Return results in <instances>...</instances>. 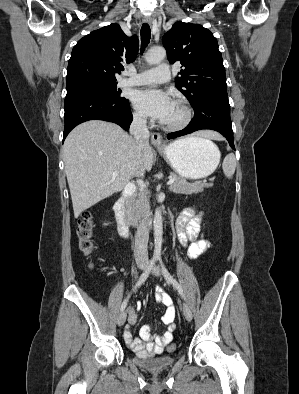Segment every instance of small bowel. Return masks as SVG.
Listing matches in <instances>:
<instances>
[{"instance_id":"c3829d8e","label":"small bowel","mask_w":299,"mask_h":394,"mask_svg":"<svg viewBox=\"0 0 299 394\" xmlns=\"http://www.w3.org/2000/svg\"><path fill=\"white\" fill-rule=\"evenodd\" d=\"M176 233L181 245L187 247V255L191 259L198 258L210 246V242L204 237L201 229V214L193 208H185L179 212ZM155 300L166 307L165 314L162 316L165 329L159 334L152 335L151 327L144 325L139 331V336L134 338L131 327L138 320L137 308L133 306L128 308L129 324L126 326L124 337L129 347L139 357H153L162 354L165 346L173 339L176 329V309L172 298L164 289L159 288L155 293Z\"/></svg>"}]
</instances>
